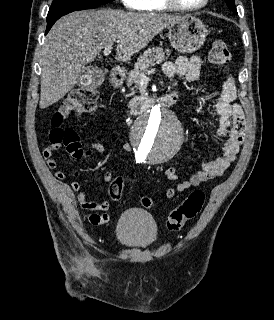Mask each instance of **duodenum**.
I'll list each match as a JSON object with an SVG mask.
<instances>
[{
    "mask_svg": "<svg viewBox=\"0 0 274 320\" xmlns=\"http://www.w3.org/2000/svg\"><path fill=\"white\" fill-rule=\"evenodd\" d=\"M123 73L120 71H112L109 75L110 84L116 88L123 80ZM178 100L176 93H170L167 95L160 96L158 98L144 97L139 99L134 106L132 115H136L142 111L149 110L155 106H171Z\"/></svg>",
    "mask_w": 274,
    "mask_h": 320,
    "instance_id": "1",
    "label": "duodenum"
}]
</instances>
